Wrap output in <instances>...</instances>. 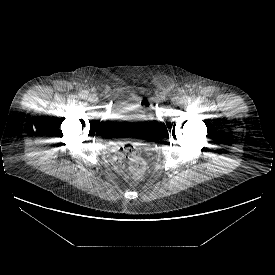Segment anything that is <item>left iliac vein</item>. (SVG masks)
<instances>
[{
    "label": "left iliac vein",
    "mask_w": 275,
    "mask_h": 275,
    "mask_svg": "<svg viewBox=\"0 0 275 275\" xmlns=\"http://www.w3.org/2000/svg\"><path fill=\"white\" fill-rule=\"evenodd\" d=\"M172 104L175 106L183 104V99L179 96H176L172 99Z\"/></svg>",
    "instance_id": "left-iliac-vein-1"
}]
</instances>
